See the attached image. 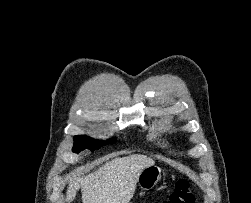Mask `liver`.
<instances>
[{"instance_id":"obj_1","label":"liver","mask_w":251,"mask_h":203,"mask_svg":"<svg viewBox=\"0 0 251 203\" xmlns=\"http://www.w3.org/2000/svg\"><path fill=\"white\" fill-rule=\"evenodd\" d=\"M151 165L154 161L145 155L115 158L87 176L70 179L66 201L72 202L81 188L83 203H129L140 172Z\"/></svg>"}]
</instances>
